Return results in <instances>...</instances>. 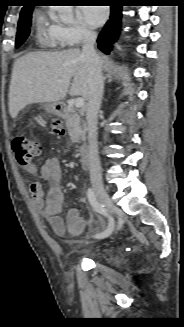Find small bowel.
Wrapping results in <instances>:
<instances>
[{
    "mask_svg": "<svg viewBox=\"0 0 184 327\" xmlns=\"http://www.w3.org/2000/svg\"><path fill=\"white\" fill-rule=\"evenodd\" d=\"M25 171L30 175H36L38 168L36 164L31 163L25 166ZM39 173L50 187L45 193L40 182L33 181L30 184L29 189L35 207L41 210L43 217L49 221L57 235L68 234L72 237L81 235L86 227V221L77 209H70L65 219L61 217L65 207V195L60 187L62 169L59 160L54 157L48 158L41 166Z\"/></svg>",
    "mask_w": 184,
    "mask_h": 327,
    "instance_id": "c3829d8e",
    "label": "small bowel"
}]
</instances>
